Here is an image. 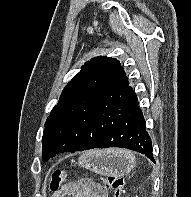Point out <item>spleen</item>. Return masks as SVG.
<instances>
[{
    "label": "spleen",
    "mask_w": 191,
    "mask_h": 197,
    "mask_svg": "<svg viewBox=\"0 0 191 197\" xmlns=\"http://www.w3.org/2000/svg\"><path fill=\"white\" fill-rule=\"evenodd\" d=\"M121 153H123L126 157L131 158L133 161H135V156L133 155L132 152L127 151V150H120Z\"/></svg>",
    "instance_id": "obj_1"
}]
</instances>
